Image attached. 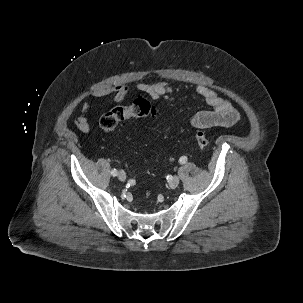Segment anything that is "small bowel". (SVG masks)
Masks as SVG:
<instances>
[{
	"label": "small bowel",
	"instance_id": "small-bowel-1",
	"mask_svg": "<svg viewBox=\"0 0 303 303\" xmlns=\"http://www.w3.org/2000/svg\"><path fill=\"white\" fill-rule=\"evenodd\" d=\"M137 88L154 99H169L172 95L179 93L178 89L172 87L166 81L141 83ZM193 91L203 97L211 109L200 111L193 115L190 119L192 126L197 128L231 127L238 122L239 113L237 110L229 100L221 97L215 90L198 85L193 88ZM127 93L128 87L125 84H117L111 88L97 91L94 96L97 99L108 98L110 102L118 103L125 99ZM91 107V102H85L74 121L75 127L80 132L86 133L89 131L87 113Z\"/></svg>",
	"mask_w": 303,
	"mask_h": 303
}]
</instances>
